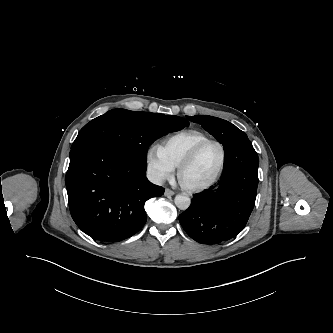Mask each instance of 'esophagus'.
Masks as SVG:
<instances>
[{
    "label": "esophagus",
    "instance_id": "obj_1",
    "mask_svg": "<svg viewBox=\"0 0 333 333\" xmlns=\"http://www.w3.org/2000/svg\"><path fill=\"white\" fill-rule=\"evenodd\" d=\"M174 194H175L174 191H172L171 189H169V188L165 189V192H164L165 196L169 197V196H173Z\"/></svg>",
    "mask_w": 333,
    "mask_h": 333
}]
</instances>
